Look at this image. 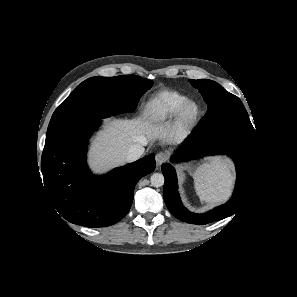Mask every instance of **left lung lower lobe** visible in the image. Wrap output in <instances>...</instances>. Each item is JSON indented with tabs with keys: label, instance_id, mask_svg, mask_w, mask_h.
Segmentation results:
<instances>
[{
	"label": "left lung lower lobe",
	"instance_id": "left-lung-lower-lobe-1",
	"mask_svg": "<svg viewBox=\"0 0 297 297\" xmlns=\"http://www.w3.org/2000/svg\"><path fill=\"white\" fill-rule=\"evenodd\" d=\"M226 154L236 167L237 181L230 200L203 214L188 211L178 194L175 169L170 164L161 166L165 177L163 196L169 211L179 220L192 224H208L229 217L242 207L250 194L257 170V149L255 139L233 131H216L205 135L198 134L196 128L181 144L173 162L199 158L207 155Z\"/></svg>",
	"mask_w": 297,
	"mask_h": 297
}]
</instances>
